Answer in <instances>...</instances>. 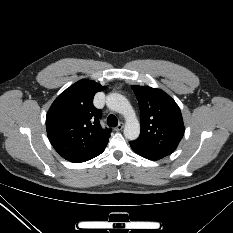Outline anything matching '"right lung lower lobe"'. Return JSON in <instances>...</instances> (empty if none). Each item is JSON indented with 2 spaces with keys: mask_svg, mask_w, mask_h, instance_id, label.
Here are the masks:
<instances>
[{
  "mask_svg": "<svg viewBox=\"0 0 233 233\" xmlns=\"http://www.w3.org/2000/svg\"><path fill=\"white\" fill-rule=\"evenodd\" d=\"M104 149H105V148H104ZM104 149H103L99 154H101V153L104 151ZM99 154H98V155H99ZM98 155H96V156H98ZM96 156H95V157H96Z\"/></svg>",
  "mask_w": 233,
  "mask_h": 233,
  "instance_id": "1",
  "label": "right lung lower lobe"
}]
</instances>
